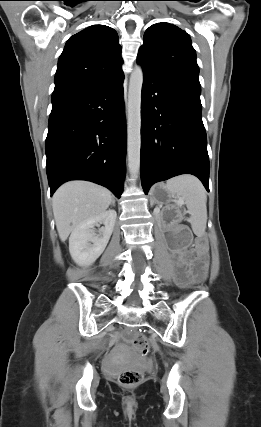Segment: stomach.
Listing matches in <instances>:
<instances>
[{"label":"stomach","instance_id":"0dacf381","mask_svg":"<svg viewBox=\"0 0 261 427\" xmlns=\"http://www.w3.org/2000/svg\"><path fill=\"white\" fill-rule=\"evenodd\" d=\"M173 195L164 184H158L151 190V202L156 204H168Z\"/></svg>","mask_w":261,"mask_h":427}]
</instances>
